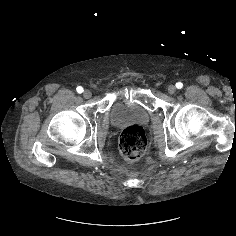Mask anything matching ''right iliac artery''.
I'll use <instances>...</instances> for the list:
<instances>
[{"label": "right iliac artery", "instance_id": "82829eb1", "mask_svg": "<svg viewBox=\"0 0 236 236\" xmlns=\"http://www.w3.org/2000/svg\"><path fill=\"white\" fill-rule=\"evenodd\" d=\"M76 90H77V92H78L79 94H81V93L83 92V88H82L81 86H78V87L76 88Z\"/></svg>", "mask_w": 236, "mask_h": 236}]
</instances>
